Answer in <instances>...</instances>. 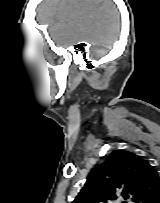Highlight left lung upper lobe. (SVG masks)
<instances>
[{
  "mask_svg": "<svg viewBox=\"0 0 160 203\" xmlns=\"http://www.w3.org/2000/svg\"><path fill=\"white\" fill-rule=\"evenodd\" d=\"M159 183L160 176L148 161L117 150L92 170L72 203L107 202L116 200L117 195L135 203H150Z\"/></svg>",
  "mask_w": 160,
  "mask_h": 203,
  "instance_id": "left-lung-upper-lobe-1",
  "label": "left lung upper lobe"
}]
</instances>
